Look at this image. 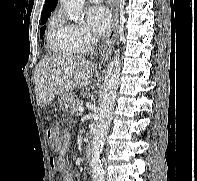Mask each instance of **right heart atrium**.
<instances>
[{
  "mask_svg": "<svg viewBox=\"0 0 197 181\" xmlns=\"http://www.w3.org/2000/svg\"><path fill=\"white\" fill-rule=\"evenodd\" d=\"M67 26L79 51H89L93 47L95 39L86 28L71 23L67 24Z\"/></svg>",
  "mask_w": 197,
  "mask_h": 181,
  "instance_id": "right-heart-atrium-1",
  "label": "right heart atrium"
}]
</instances>
